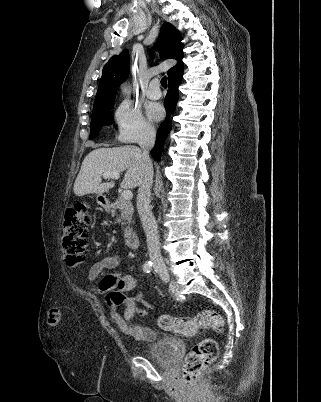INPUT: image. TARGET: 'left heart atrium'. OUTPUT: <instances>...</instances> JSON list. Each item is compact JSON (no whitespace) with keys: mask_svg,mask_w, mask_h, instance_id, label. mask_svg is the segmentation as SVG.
Wrapping results in <instances>:
<instances>
[{"mask_svg":"<svg viewBox=\"0 0 321 402\" xmlns=\"http://www.w3.org/2000/svg\"><path fill=\"white\" fill-rule=\"evenodd\" d=\"M163 108L159 104H153L148 108V116L152 120H159L163 116Z\"/></svg>","mask_w":321,"mask_h":402,"instance_id":"1","label":"left heart atrium"}]
</instances>
